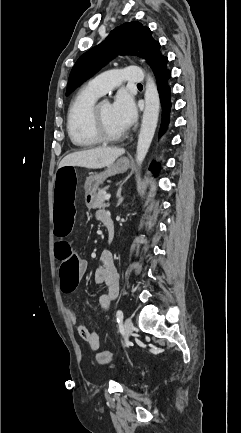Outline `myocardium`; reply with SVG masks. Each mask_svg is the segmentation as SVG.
<instances>
[{
    "label": "myocardium",
    "mask_w": 241,
    "mask_h": 433,
    "mask_svg": "<svg viewBox=\"0 0 241 433\" xmlns=\"http://www.w3.org/2000/svg\"><path fill=\"white\" fill-rule=\"evenodd\" d=\"M103 102L96 103L93 106L92 112H91V128L96 136V138L103 143H114L122 140L126 133L125 131L118 134V135H111L109 134L103 126L101 115H100V106Z\"/></svg>",
    "instance_id": "myocardium-1"
}]
</instances>
